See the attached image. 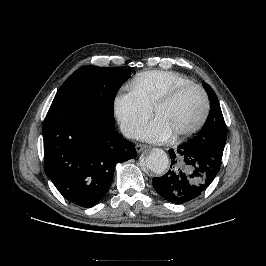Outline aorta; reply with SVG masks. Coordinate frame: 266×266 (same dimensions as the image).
Returning a JSON list of instances; mask_svg holds the SVG:
<instances>
[{
    "label": "aorta",
    "mask_w": 266,
    "mask_h": 266,
    "mask_svg": "<svg viewBox=\"0 0 266 266\" xmlns=\"http://www.w3.org/2000/svg\"><path fill=\"white\" fill-rule=\"evenodd\" d=\"M145 164L152 172L162 174L169 166V158L165 151L154 148L146 157Z\"/></svg>",
    "instance_id": "762f6f07"
}]
</instances>
